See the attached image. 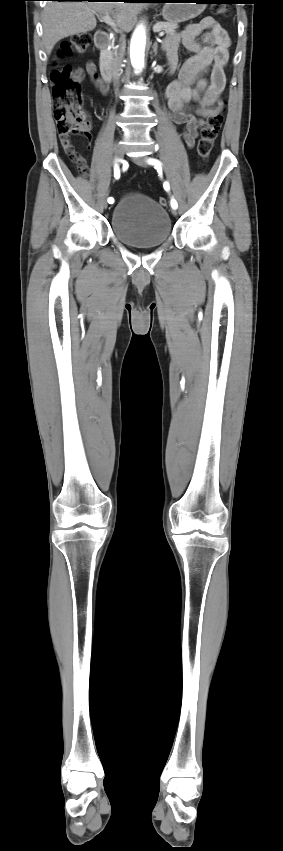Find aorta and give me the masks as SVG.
I'll return each mask as SVG.
<instances>
[{"label": "aorta", "instance_id": "762f6f07", "mask_svg": "<svg viewBox=\"0 0 283 851\" xmlns=\"http://www.w3.org/2000/svg\"><path fill=\"white\" fill-rule=\"evenodd\" d=\"M146 35L143 26H138L132 36L130 44L131 64L136 71L144 66Z\"/></svg>", "mask_w": 283, "mask_h": 851}]
</instances>
